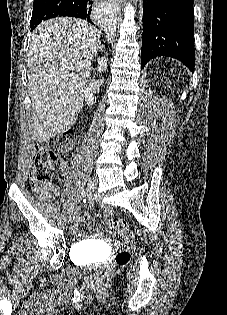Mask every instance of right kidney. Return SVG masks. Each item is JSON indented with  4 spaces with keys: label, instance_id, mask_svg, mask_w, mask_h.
I'll use <instances>...</instances> for the list:
<instances>
[{
    "label": "right kidney",
    "instance_id": "ca27d5eb",
    "mask_svg": "<svg viewBox=\"0 0 227 315\" xmlns=\"http://www.w3.org/2000/svg\"><path fill=\"white\" fill-rule=\"evenodd\" d=\"M98 70L99 71H105L106 68H107V59L105 57H102L101 59L98 60ZM85 101L86 103L90 106V105H93L96 101V98L94 97L93 93L90 92V91H86V94H85Z\"/></svg>",
    "mask_w": 227,
    "mask_h": 315
}]
</instances>
